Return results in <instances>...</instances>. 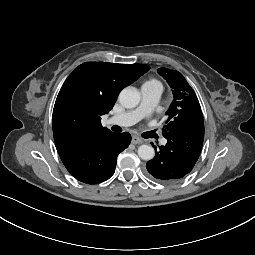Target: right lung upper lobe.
<instances>
[{
  "label": "right lung upper lobe",
  "instance_id": "right-lung-upper-lobe-1",
  "mask_svg": "<svg viewBox=\"0 0 255 255\" xmlns=\"http://www.w3.org/2000/svg\"><path fill=\"white\" fill-rule=\"evenodd\" d=\"M149 69L144 64L79 65L65 80L53 109V136L58 152L83 140L112 133L101 125V116L113 108L124 87Z\"/></svg>",
  "mask_w": 255,
  "mask_h": 255
}]
</instances>
